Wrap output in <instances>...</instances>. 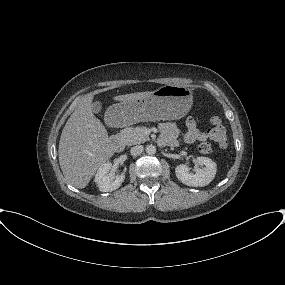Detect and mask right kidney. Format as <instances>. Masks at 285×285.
Wrapping results in <instances>:
<instances>
[{
    "mask_svg": "<svg viewBox=\"0 0 285 285\" xmlns=\"http://www.w3.org/2000/svg\"><path fill=\"white\" fill-rule=\"evenodd\" d=\"M112 169V163L106 162L101 164L97 170L94 181L101 192H111L118 189L125 179L123 173L115 175Z\"/></svg>",
    "mask_w": 285,
    "mask_h": 285,
    "instance_id": "1",
    "label": "right kidney"
}]
</instances>
